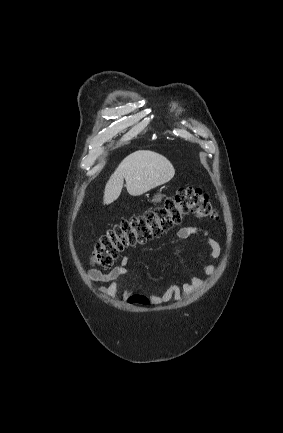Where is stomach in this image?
<instances>
[{
    "mask_svg": "<svg viewBox=\"0 0 283 433\" xmlns=\"http://www.w3.org/2000/svg\"><path fill=\"white\" fill-rule=\"evenodd\" d=\"M164 194H160V192H156L152 198V202H160L162 200Z\"/></svg>",
    "mask_w": 283,
    "mask_h": 433,
    "instance_id": "stomach-1",
    "label": "stomach"
}]
</instances>
